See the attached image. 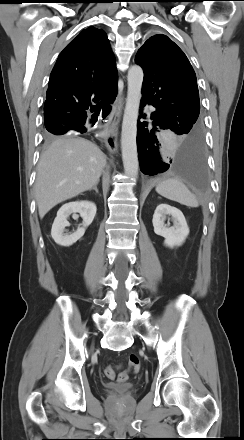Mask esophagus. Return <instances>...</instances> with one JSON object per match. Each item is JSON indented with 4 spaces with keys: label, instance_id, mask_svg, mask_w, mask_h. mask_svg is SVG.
<instances>
[{
    "label": "esophagus",
    "instance_id": "esophagus-1",
    "mask_svg": "<svg viewBox=\"0 0 244 440\" xmlns=\"http://www.w3.org/2000/svg\"><path fill=\"white\" fill-rule=\"evenodd\" d=\"M124 105L123 94L118 95L111 112L110 121L107 125L108 133L105 138V143L108 149L116 153L118 150L117 129L121 117V111Z\"/></svg>",
    "mask_w": 244,
    "mask_h": 440
}]
</instances>
